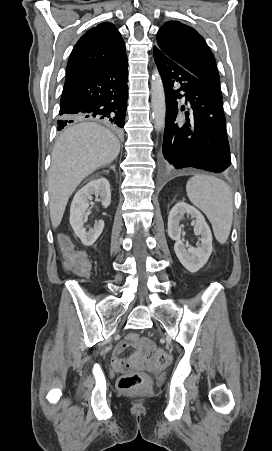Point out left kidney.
Segmentation results:
<instances>
[{
  "label": "left kidney",
  "instance_id": "5707ae66",
  "mask_svg": "<svg viewBox=\"0 0 272 451\" xmlns=\"http://www.w3.org/2000/svg\"><path fill=\"white\" fill-rule=\"evenodd\" d=\"M184 214H188L191 218H195L194 233L195 235H201L200 247H185L181 239V227L179 226L180 220H182ZM168 235L171 239H175L174 251L181 261L182 265L188 269V271H198L200 267H203L204 263L208 261L209 255L212 253V233L211 229L206 224L204 216H202L199 210L185 204V202H178L168 216Z\"/></svg>",
  "mask_w": 272,
  "mask_h": 451
}]
</instances>
